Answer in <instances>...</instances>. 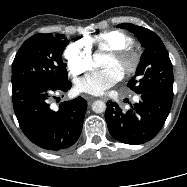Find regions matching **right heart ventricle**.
<instances>
[{
	"mask_svg": "<svg viewBox=\"0 0 187 187\" xmlns=\"http://www.w3.org/2000/svg\"><path fill=\"white\" fill-rule=\"evenodd\" d=\"M90 46L98 50L111 51L122 47H132L133 39L126 33L119 30L102 32L87 41Z\"/></svg>",
	"mask_w": 187,
	"mask_h": 187,
	"instance_id": "1",
	"label": "right heart ventricle"
}]
</instances>
